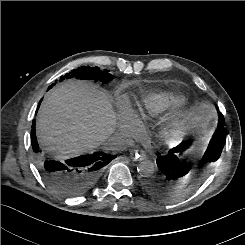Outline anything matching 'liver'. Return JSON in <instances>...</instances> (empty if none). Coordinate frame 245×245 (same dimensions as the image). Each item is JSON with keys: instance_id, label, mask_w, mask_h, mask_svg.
Returning a JSON list of instances; mask_svg holds the SVG:
<instances>
[{"instance_id": "6515ba94", "label": "liver", "mask_w": 245, "mask_h": 245, "mask_svg": "<svg viewBox=\"0 0 245 245\" xmlns=\"http://www.w3.org/2000/svg\"><path fill=\"white\" fill-rule=\"evenodd\" d=\"M115 120L104 92L70 80L46 95L38 113L37 137L45 151L64 160L96 148L114 131ZM180 126L169 123L168 133L175 134Z\"/></svg>"}]
</instances>
